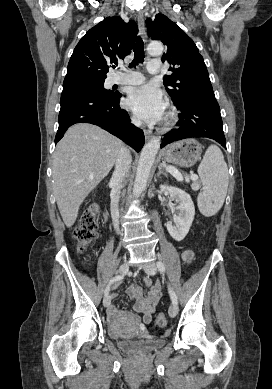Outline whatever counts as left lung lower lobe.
Returning a JSON list of instances; mask_svg holds the SVG:
<instances>
[{
  "label": "left lung lower lobe",
  "instance_id": "0a47b994",
  "mask_svg": "<svg viewBox=\"0 0 272 389\" xmlns=\"http://www.w3.org/2000/svg\"><path fill=\"white\" fill-rule=\"evenodd\" d=\"M177 108L181 111L179 128L164 135L161 148L191 137L210 138L226 148L220 107L213 90L194 94Z\"/></svg>",
  "mask_w": 272,
  "mask_h": 389
}]
</instances>
